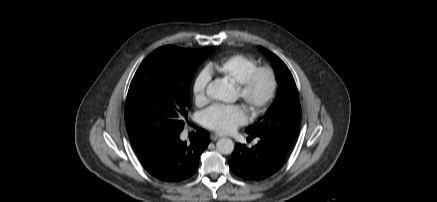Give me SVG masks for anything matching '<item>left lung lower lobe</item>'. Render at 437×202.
Listing matches in <instances>:
<instances>
[{"instance_id": "0a47b994", "label": "left lung lower lobe", "mask_w": 437, "mask_h": 202, "mask_svg": "<svg viewBox=\"0 0 437 202\" xmlns=\"http://www.w3.org/2000/svg\"><path fill=\"white\" fill-rule=\"evenodd\" d=\"M250 137H257L258 143L251 148L236 144L229 165L235 175L246 180L260 181L282 167L288 151L264 137Z\"/></svg>"}]
</instances>
